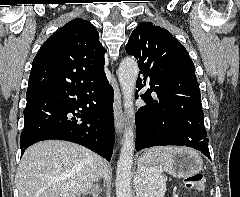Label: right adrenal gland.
I'll return each instance as SVG.
<instances>
[{
    "instance_id": "1",
    "label": "right adrenal gland",
    "mask_w": 240,
    "mask_h": 197,
    "mask_svg": "<svg viewBox=\"0 0 240 197\" xmlns=\"http://www.w3.org/2000/svg\"><path fill=\"white\" fill-rule=\"evenodd\" d=\"M101 192V189L98 185H94L91 190L87 191L85 194H90L92 197H98L99 193Z\"/></svg>"
}]
</instances>
